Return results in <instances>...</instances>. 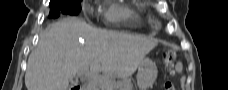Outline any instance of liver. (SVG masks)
Masks as SVG:
<instances>
[{"mask_svg":"<svg viewBox=\"0 0 228 90\" xmlns=\"http://www.w3.org/2000/svg\"><path fill=\"white\" fill-rule=\"evenodd\" d=\"M156 45L148 37L101 30L67 17L40 34L28 58L25 85L27 90H67L78 72L91 67L108 80L127 79Z\"/></svg>","mask_w":228,"mask_h":90,"instance_id":"liver-1","label":"liver"}]
</instances>
